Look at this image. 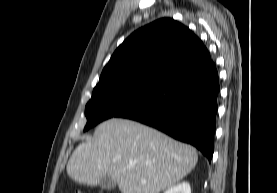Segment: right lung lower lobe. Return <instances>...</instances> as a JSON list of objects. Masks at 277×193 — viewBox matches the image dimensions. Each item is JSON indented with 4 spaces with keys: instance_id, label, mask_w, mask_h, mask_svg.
<instances>
[{
    "instance_id": "right-lung-lower-lobe-1",
    "label": "right lung lower lobe",
    "mask_w": 277,
    "mask_h": 193,
    "mask_svg": "<svg viewBox=\"0 0 277 193\" xmlns=\"http://www.w3.org/2000/svg\"><path fill=\"white\" fill-rule=\"evenodd\" d=\"M218 92V72L210 60L168 81L117 117L139 121L189 143L211 161Z\"/></svg>"
}]
</instances>
